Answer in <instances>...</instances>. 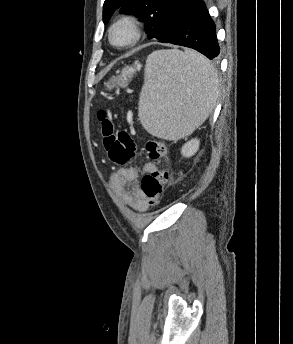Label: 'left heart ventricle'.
I'll return each mask as SVG.
<instances>
[{
	"label": "left heart ventricle",
	"instance_id": "obj_1",
	"mask_svg": "<svg viewBox=\"0 0 293 344\" xmlns=\"http://www.w3.org/2000/svg\"><path fill=\"white\" fill-rule=\"evenodd\" d=\"M130 36V31L126 27H120L114 32L113 38L117 43H124L129 40Z\"/></svg>",
	"mask_w": 293,
	"mask_h": 344
}]
</instances>
